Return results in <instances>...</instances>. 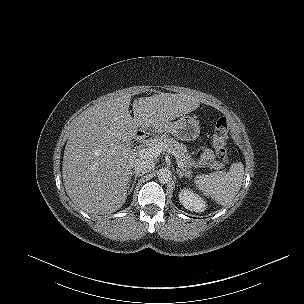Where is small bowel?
I'll list each match as a JSON object with an SVG mask.
<instances>
[{
    "instance_id": "small-bowel-1",
    "label": "small bowel",
    "mask_w": 304,
    "mask_h": 304,
    "mask_svg": "<svg viewBox=\"0 0 304 304\" xmlns=\"http://www.w3.org/2000/svg\"><path fill=\"white\" fill-rule=\"evenodd\" d=\"M212 158H213L212 152L209 149L203 147L201 149V155H200L201 162H208L212 160Z\"/></svg>"
}]
</instances>
